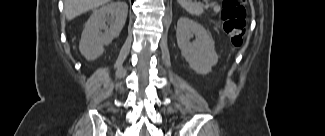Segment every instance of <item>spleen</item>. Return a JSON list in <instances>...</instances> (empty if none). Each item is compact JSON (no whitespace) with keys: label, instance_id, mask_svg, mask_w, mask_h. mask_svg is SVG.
<instances>
[{"label":"spleen","instance_id":"spleen-1","mask_svg":"<svg viewBox=\"0 0 325 136\" xmlns=\"http://www.w3.org/2000/svg\"><path fill=\"white\" fill-rule=\"evenodd\" d=\"M179 4L191 15H201L203 8L191 0H179Z\"/></svg>","mask_w":325,"mask_h":136}]
</instances>
